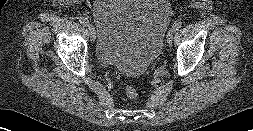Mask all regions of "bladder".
<instances>
[{"label": "bladder", "instance_id": "bladder-1", "mask_svg": "<svg viewBox=\"0 0 253 131\" xmlns=\"http://www.w3.org/2000/svg\"><path fill=\"white\" fill-rule=\"evenodd\" d=\"M170 16L166 0H98L97 59L125 75H141L162 49Z\"/></svg>", "mask_w": 253, "mask_h": 131}]
</instances>
